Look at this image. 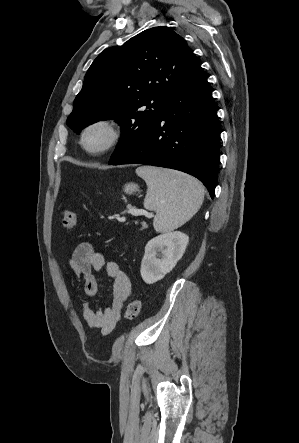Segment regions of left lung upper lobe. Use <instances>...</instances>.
Listing matches in <instances>:
<instances>
[{
    "instance_id": "5c2ea615",
    "label": "left lung upper lobe",
    "mask_w": 299,
    "mask_h": 443,
    "mask_svg": "<svg viewBox=\"0 0 299 443\" xmlns=\"http://www.w3.org/2000/svg\"><path fill=\"white\" fill-rule=\"evenodd\" d=\"M199 61L185 40L164 26L105 49L88 69L67 125L114 119L122 136L109 162L128 151L158 120L164 104Z\"/></svg>"
}]
</instances>
